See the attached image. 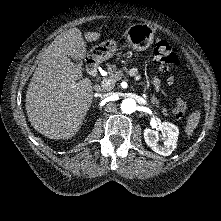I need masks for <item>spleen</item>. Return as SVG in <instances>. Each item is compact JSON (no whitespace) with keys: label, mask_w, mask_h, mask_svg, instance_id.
<instances>
[{"label":"spleen","mask_w":221,"mask_h":221,"mask_svg":"<svg viewBox=\"0 0 221 221\" xmlns=\"http://www.w3.org/2000/svg\"><path fill=\"white\" fill-rule=\"evenodd\" d=\"M199 120H200V112L199 111H194L189 115V117L187 119L186 127H185V132L187 135L192 134V132L198 126Z\"/></svg>","instance_id":"3e777b00"}]
</instances>
